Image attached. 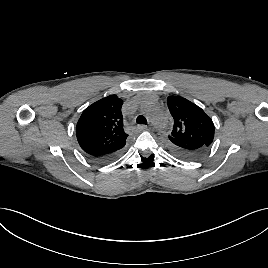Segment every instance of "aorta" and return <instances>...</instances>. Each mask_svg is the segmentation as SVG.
<instances>
[{"label": "aorta", "mask_w": 268, "mask_h": 268, "mask_svg": "<svg viewBox=\"0 0 268 268\" xmlns=\"http://www.w3.org/2000/svg\"><path fill=\"white\" fill-rule=\"evenodd\" d=\"M140 109L149 118L155 128L164 129L166 127V119L154 102L143 99L140 104Z\"/></svg>", "instance_id": "1"}]
</instances>
